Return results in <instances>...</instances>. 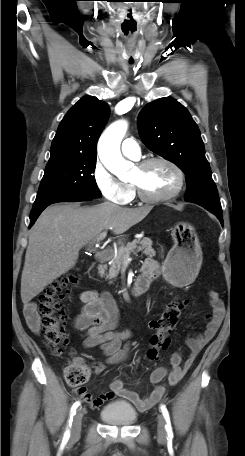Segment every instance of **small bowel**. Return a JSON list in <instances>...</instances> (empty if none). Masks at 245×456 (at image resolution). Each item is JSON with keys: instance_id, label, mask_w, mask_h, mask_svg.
Here are the masks:
<instances>
[{"instance_id": "1", "label": "small bowel", "mask_w": 245, "mask_h": 456, "mask_svg": "<svg viewBox=\"0 0 245 456\" xmlns=\"http://www.w3.org/2000/svg\"><path fill=\"white\" fill-rule=\"evenodd\" d=\"M157 271V263L148 259L146 267ZM80 300L84 304L81 312L75 317L73 326L84 331V345L87 348L99 347L107 357L106 363L117 364L124 361L130 350L129 343L122 347L124 341H129L132 333L129 330L115 332L118 324L119 313L116 303L108 292L98 294L91 290H85L80 294ZM212 312L207 316L208 323L203 333L194 334L187 338L186 343L190 353L185 361L179 353H174L170 359V369L158 367L151 373V382L157 386L146 397H140L136 392L124 388L121 378H116L110 385V391L93 397L86 387H78L77 395L92 408H98L107 401L119 396L130 401L137 409L146 410L155 405L163 396L165 386L159 385L164 379L171 386L176 385L187 373L202 348L214 337L220 327L225 306L215 291L209 292ZM24 315L28 326L34 332H39V315L34 303H28L24 308ZM82 360V359H80ZM83 361V360H82ZM104 364L97 362L94 366L95 373H100Z\"/></svg>"}]
</instances>
